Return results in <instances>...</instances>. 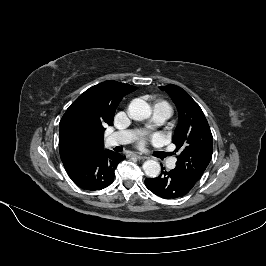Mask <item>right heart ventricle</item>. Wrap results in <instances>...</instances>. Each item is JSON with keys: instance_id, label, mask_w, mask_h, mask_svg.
I'll list each match as a JSON object with an SVG mask.
<instances>
[{"instance_id": "e07e8e85", "label": "right heart ventricle", "mask_w": 266, "mask_h": 266, "mask_svg": "<svg viewBox=\"0 0 266 266\" xmlns=\"http://www.w3.org/2000/svg\"><path fill=\"white\" fill-rule=\"evenodd\" d=\"M156 106H158V107H162V108L166 109V110L171 114V107H170V105H169L167 102H164V101H158V102L154 105V107H156Z\"/></svg>"}]
</instances>
